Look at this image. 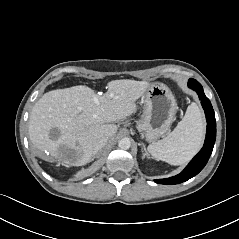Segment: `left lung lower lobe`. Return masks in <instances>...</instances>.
<instances>
[{"mask_svg":"<svg viewBox=\"0 0 239 239\" xmlns=\"http://www.w3.org/2000/svg\"><path fill=\"white\" fill-rule=\"evenodd\" d=\"M189 88L195 90L201 100L203 109L205 110L207 120L206 138L203 148L200 152L190 161L186 168L178 175L155 180L160 184H179L189 180L197 175L208 162L212 153L215 139H216V120L214 110L212 108L210 100L205 96L202 85L194 79H190L188 82Z\"/></svg>","mask_w":239,"mask_h":239,"instance_id":"obj_1","label":"left lung lower lobe"}]
</instances>
